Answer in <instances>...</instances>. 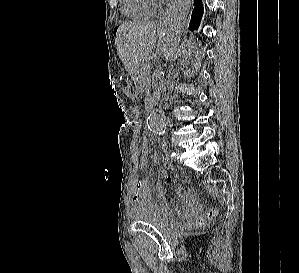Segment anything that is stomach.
I'll list each match as a JSON object with an SVG mask.
<instances>
[{"instance_id": "1", "label": "stomach", "mask_w": 299, "mask_h": 273, "mask_svg": "<svg viewBox=\"0 0 299 273\" xmlns=\"http://www.w3.org/2000/svg\"><path fill=\"white\" fill-rule=\"evenodd\" d=\"M142 88H143L142 84L138 85V89H142Z\"/></svg>"}]
</instances>
